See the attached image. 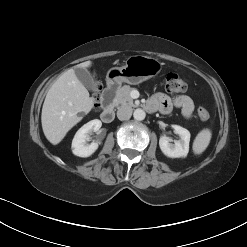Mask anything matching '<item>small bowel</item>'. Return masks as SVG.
I'll return each mask as SVG.
<instances>
[{"label":"small bowel","mask_w":247,"mask_h":247,"mask_svg":"<svg viewBox=\"0 0 247 247\" xmlns=\"http://www.w3.org/2000/svg\"><path fill=\"white\" fill-rule=\"evenodd\" d=\"M150 109H158L162 113H169L173 107L180 108L186 118H190L194 111L193 100L188 95L170 97L163 93L155 94L148 103Z\"/></svg>","instance_id":"obj_1"}]
</instances>
